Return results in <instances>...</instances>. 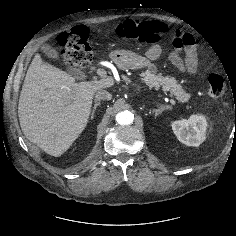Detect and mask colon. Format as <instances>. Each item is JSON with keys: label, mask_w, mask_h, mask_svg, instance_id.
<instances>
[{"label": "colon", "mask_w": 236, "mask_h": 236, "mask_svg": "<svg viewBox=\"0 0 236 236\" xmlns=\"http://www.w3.org/2000/svg\"><path fill=\"white\" fill-rule=\"evenodd\" d=\"M117 35L121 38L154 44L160 41L167 29L159 21L127 20L117 27ZM58 44L63 49V60L66 66L85 70L92 58L90 32L80 25L59 34ZM208 94L219 98L226 90L225 78L220 74H211L207 80Z\"/></svg>", "instance_id": "colon-1"}]
</instances>
